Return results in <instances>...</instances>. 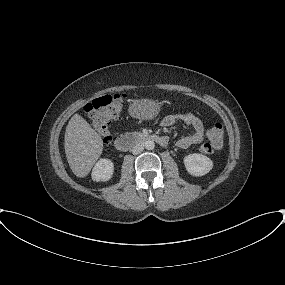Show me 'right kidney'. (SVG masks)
Returning a JSON list of instances; mask_svg holds the SVG:
<instances>
[{
	"label": "right kidney",
	"mask_w": 285,
	"mask_h": 285,
	"mask_svg": "<svg viewBox=\"0 0 285 285\" xmlns=\"http://www.w3.org/2000/svg\"><path fill=\"white\" fill-rule=\"evenodd\" d=\"M114 173V164L110 159H100L94 166L91 176L92 180L96 182L109 181Z\"/></svg>",
	"instance_id": "right-kidney-1"
}]
</instances>
